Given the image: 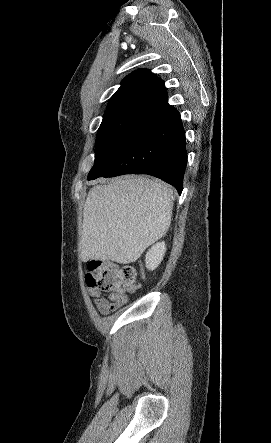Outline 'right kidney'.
I'll list each match as a JSON object with an SVG mask.
<instances>
[{"mask_svg": "<svg viewBox=\"0 0 271 443\" xmlns=\"http://www.w3.org/2000/svg\"><path fill=\"white\" fill-rule=\"evenodd\" d=\"M165 251L166 247L164 241H158V243L152 245L146 253V267H148V269H155L160 261H162Z\"/></svg>", "mask_w": 271, "mask_h": 443, "instance_id": "obj_1", "label": "right kidney"}]
</instances>
